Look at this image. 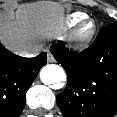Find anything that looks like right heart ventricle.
I'll return each mask as SVG.
<instances>
[{
  "label": "right heart ventricle",
  "mask_w": 117,
  "mask_h": 117,
  "mask_svg": "<svg viewBox=\"0 0 117 117\" xmlns=\"http://www.w3.org/2000/svg\"><path fill=\"white\" fill-rule=\"evenodd\" d=\"M85 17H86V15L83 13H75V14L71 15L70 26H74V25L78 24L79 22L84 20Z\"/></svg>",
  "instance_id": "right-heart-ventricle-1"
}]
</instances>
